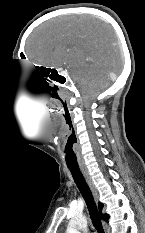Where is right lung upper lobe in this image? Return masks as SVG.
<instances>
[{"label":"right lung upper lobe","instance_id":"1","mask_svg":"<svg viewBox=\"0 0 145 233\" xmlns=\"http://www.w3.org/2000/svg\"><path fill=\"white\" fill-rule=\"evenodd\" d=\"M102 208H103V204L100 203V204H99L100 213H101ZM101 217H102L103 220L108 221L109 215H108V214H102V213H101Z\"/></svg>","mask_w":145,"mask_h":233}]
</instances>
